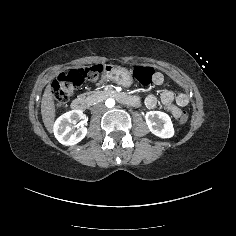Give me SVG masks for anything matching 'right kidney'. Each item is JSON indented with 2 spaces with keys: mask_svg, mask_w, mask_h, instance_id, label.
<instances>
[{
  "mask_svg": "<svg viewBox=\"0 0 236 236\" xmlns=\"http://www.w3.org/2000/svg\"><path fill=\"white\" fill-rule=\"evenodd\" d=\"M83 118L80 110H72L61 115L55 122L54 135L65 146H73L81 142L88 133V128L81 126L79 130L72 131L71 123H76Z\"/></svg>",
  "mask_w": 236,
  "mask_h": 236,
  "instance_id": "ca27d5eb",
  "label": "right kidney"
}]
</instances>
